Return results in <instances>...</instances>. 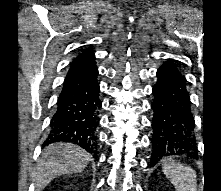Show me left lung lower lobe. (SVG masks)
I'll use <instances>...</instances> for the list:
<instances>
[{"label": "left lung lower lobe", "mask_w": 221, "mask_h": 191, "mask_svg": "<svg viewBox=\"0 0 221 191\" xmlns=\"http://www.w3.org/2000/svg\"><path fill=\"white\" fill-rule=\"evenodd\" d=\"M153 87L154 111L151 166L173 155L197 158L195 121L187 80L174 61L168 60L157 71Z\"/></svg>", "instance_id": "obj_1"}]
</instances>
